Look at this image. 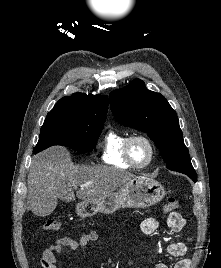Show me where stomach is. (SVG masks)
<instances>
[{
    "label": "stomach",
    "instance_id": "1",
    "mask_svg": "<svg viewBox=\"0 0 221 268\" xmlns=\"http://www.w3.org/2000/svg\"><path fill=\"white\" fill-rule=\"evenodd\" d=\"M165 194L161 183L147 177H134L117 192L78 203L76 212L81 217H92L98 212L112 214L120 208H145L160 202Z\"/></svg>",
    "mask_w": 221,
    "mask_h": 268
}]
</instances>
